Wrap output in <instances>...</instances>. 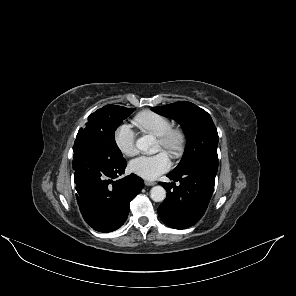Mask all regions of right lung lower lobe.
Listing matches in <instances>:
<instances>
[{
  "label": "right lung lower lobe",
  "instance_id": "obj_1",
  "mask_svg": "<svg viewBox=\"0 0 296 296\" xmlns=\"http://www.w3.org/2000/svg\"><path fill=\"white\" fill-rule=\"evenodd\" d=\"M73 152L76 198L84 220L99 232L118 229L144 181L135 174L113 181L124 173L125 159L115 160L93 143L75 140Z\"/></svg>",
  "mask_w": 296,
  "mask_h": 296
}]
</instances>
